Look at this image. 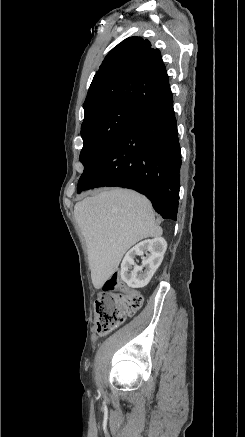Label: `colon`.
I'll list each match as a JSON object with an SVG mask.
<instances>
[{
    "label": "colon",
    "instance_id": "colon-1",
    "mask_svg": "<svg viewBox=\"0 0 245 437\" xmlns=\"http://www.w3.org/2000/svg\"><path fill=\"white\" fill-rule=\"evenodd\" d=\"M143 304V296L126 287L115 272L108 278L95 302V319L99 332L106 333L134 315Z\"/></svg>",
    "mask_w": 245,
    "mask_h": 437
}]
</instances>
